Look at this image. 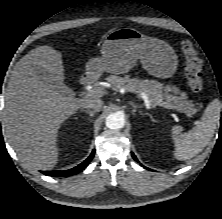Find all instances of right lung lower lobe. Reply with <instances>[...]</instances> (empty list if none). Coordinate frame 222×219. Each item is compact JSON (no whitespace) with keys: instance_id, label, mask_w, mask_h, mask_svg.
<instances>
[{"instance_id":"obj_1","label":"right lung lower lobe","mask_w":222,"mask_h":219,"mask_svg":"<svg viewBox=\"0 0 222 219\" xmlns=\"http://www.w3.org/2000/svg\"><path fill=\"white\" fill-rule=\"evenodd\" d=\"M94 154L95 150L92 151L91 155L84 162H82L81 164L72 169L65 171H41V172L47 176H54V177L72 176L82 171L84 168H86L91 159L93 158Z\"/></svg>"}]
</instances>
